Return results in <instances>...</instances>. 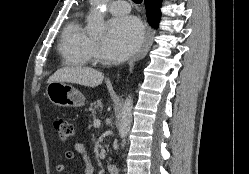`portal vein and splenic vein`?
<instances>
[{
	"label": "portal vein and splenic vein",
	"instance_id": "obj_1",
	"mask_svg": "<svg viewBox=\"0 0 249 174\" xmlns=\"http://www.w3.org/2000/svg\"><path fill=\"white\" fill-rule=\"evenodd\" d=\"M93 124H94V127H100L101 121L99 119H96L94 120Z\"/></svg>",
	"mask_w": 249,
	"mask_h": 174
}]
</instances>
